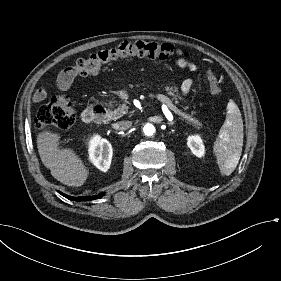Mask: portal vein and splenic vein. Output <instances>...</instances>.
Instances as JSON below:
<instances>
[{
	"instance_id": "1",
	"label": "portal vein and splenic vein",
	"mask_w": 281,
	"mask_h": 281,
	"mask_svg": "<svg viewBox=\"0 0 281 281\" xmlns=\"http://www.w3.org/2000/svg\"><path fill=\"white\" fill-rule=\"evenodd\" d=\"M148 97H151V96H148ZM146 98V97H145ZM161 98V102L163 105L165 106H168L172 111H174L176 114L178 115H181L183 116L184 118L188 119L191 123H192V126L193 127H196V128H202L203 127V124L197 120H195L194 118H191L190 116L186 115L185 113H182L176 106H174L172 103V100L169 99V98H164L163 95H158V94H155L153 96V99L155 101H158L159 99Z\"/></svg>"
}]
</instances>
